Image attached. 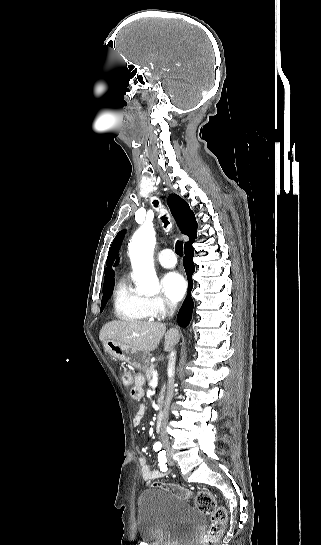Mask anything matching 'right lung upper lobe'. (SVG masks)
<instances>
[{
  "instance_id": "1",
  "label": "right lung upper lobe",
  "mask_w": 321,
  "mask_h": 545,
  "mask_svg": "<svg viewBox=\"0 0 321 545\" xmlns=\"http://www.w3.org/2000/svg\"><path fill=\"white\" fill-rule=\"evenodd\" d=\"M167 203L180 231L189 237L194 235L197 230V223L194 221V213L190 209L188 203L176 194H171L168 197ZM124 235L125 230L119 232L111 245L107 258V268L104 272L105 279L103 289L114 286V272L111 270V265L120 248Z\"/></svg>"
}]
</instances>
